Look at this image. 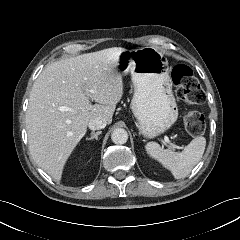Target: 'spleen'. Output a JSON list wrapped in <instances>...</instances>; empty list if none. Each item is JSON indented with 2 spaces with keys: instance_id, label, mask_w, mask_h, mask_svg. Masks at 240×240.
Listing matches in <instances>:
<instances>
[{
  "instance_id": "obj_1",
  "label": "spleen",
  "mask_w": 240,
  "mask_h": 240,
  "mask_svg": "<svg viewBox=\"0 0 240 240\" xmlns=\"http://www.w3.org/2000/svg\"><path fill=\"white\" fill-rule=\"evenodd\" d=\"M206 139L202 136L193 139L182 152L163 149L156 142H148L146 152L161 162L173 174L175 179L185 178L201 160L205 151Z\"/></svg>"
}]
</instances>
